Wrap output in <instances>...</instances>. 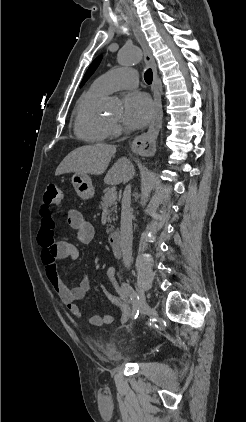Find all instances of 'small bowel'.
Listing matches in <instances>:
<instances>
[{
  "instance_id": "small-bowel-1",
  "label": "small bowel",
  "mask_w": 246,
  "mask_h": 422,
  "mask_svg": "<svg viewBox=\"0 0 246 422\" xmlns=\"http://www.w3.org/2000/svg\"><path fill=\"white\" fill-rule=\"evenodd\" d=\"M67 221L69 226L76 231L77 239L80 243H90L94 236L95 230L91 223H89L84 216L77 210H70L67 213ZM55 221L47 206H43L41 210V223L38 232V243L42 248V262L45 266L46 276L49 279L52 287L59 296L61 302L65 305L70 314L75 317H81V311L76 304V301L83 299L86 294L92 291V286L86 279H81L74 287H67L60 274L58 265L59 260L76 261L79 257V251L75 245L68 241H56L54 236ZM106 276L116 291L117 296L112 294L107 286L100 284V289L105 296L121 310L120 320L125 323L130 318V305L126 294L120 287L114 266H108L106 269ZM114 321L111 314L93 315L89 318V323L93 326L99 327L103 325H110Z\"/></svg>"
}]
</instances>
